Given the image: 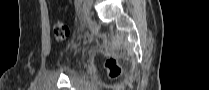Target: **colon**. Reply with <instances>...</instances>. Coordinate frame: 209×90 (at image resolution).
Wrapping results in <instances>:
<instances>
[{"instance_id":"obj_1","label":"colon","mask_w":209,"mask_h":90,"mask_svg":"<svg viewBox=\"0 0 209 90\" xmlns=\"http://www.w3.org/2000/svg\"><path fill=\"white\" fill-rule=\"evenodd\" d=\"M54 34L58 42H63L67 40V38L69 37L70 31L69 28L63 22L57 21L54 24ZM106 66L109 72V76L111 78H117L120 75L121 67L116 59L110 58L106 62Z\"/></svg>"}]
</instances>
